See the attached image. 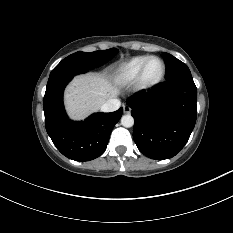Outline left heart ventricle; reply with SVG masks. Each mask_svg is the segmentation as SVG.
I'll list each match as a JSON object with an SVG mask.
<instances>
[{"mask_svg": "<svg viewBox=\"0 0 233 233\" xmlns=\"http://www.w3.org/2000/svg\"><path fill=\"white\" fill-rule=\"evenodd\" d=\"M162 72V64L159 60L153 59L151 60L145 71V79L147 81H154L156 80Z\"/></svg>", "mask_w": 233, "mask_h": 233, "instance_id": "left-heart-ventricle-1", "label": "left heart ventricle"}]
</instances>
